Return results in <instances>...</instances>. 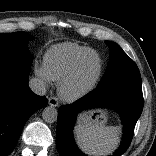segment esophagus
<instances>
[{
  "mask_svg": "<svg viewBox=\"0 0 156 156\" xmlns=\"http://www.w3.org/2000/svg\"><path fill=\"white\" fill-rule=\"evenodd\" d=\"M48 104L50 106H53V107H58L59 106V102H58V99L56 97H50L49 100H48Z\"/></svg>",
  "mask_w": 156,
  "mask_h": 156,
  "instance_id": "obj_1",
  "label": "esophagus"
}]
</instances>
